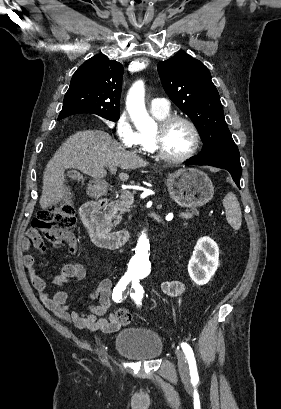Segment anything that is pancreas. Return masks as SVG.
Wrapping results in <instances>:
<instances>
[{
	"label": "pancreas",
	"instance_id": "cf45deb5",
	"mask_svg": "<svg viewBox=\"0 0 281 409\" xmlns=\"http://www.w3.org/2000/svg\"><path fill=\"white\" fill-rule=\"evenodd\" d=\"M122 199L123 197L121 196V198H118V200H115V202H111L109 209H107L106 211L107 215H109L111 219H114L112 223L113 227H117V225H120V221H122V215H124V213H129L130 211L129 208H124L122 206ZM193 215H199V211H196V209H194V211H192L191 217H193Z\"/></svg>",
	"mask_w": 281,
	"mask_h": 409
}]
</instances>
